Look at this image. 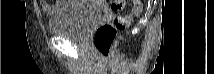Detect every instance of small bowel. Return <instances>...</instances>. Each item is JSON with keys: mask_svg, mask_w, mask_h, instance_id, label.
I'll return each mask as SVG.
<instances>
[{"mask_svg": "<svg viewBox=\"0 0 214 74\" xmlns=\"http://www.w3.org/2000/svg\"><path fill=\"white\" fill-rule=\"evenodd\" d=\"M72 5L71 1H56L54 5L49 4L46 1L41 2L43 11L48 15H53L57 10L69 7Z\"/></svg>", "mask_w": 214, "mask_h": 74, "instance_id": "obj_1", "label": "small bowel"}]
</instances>
